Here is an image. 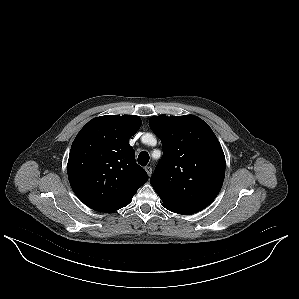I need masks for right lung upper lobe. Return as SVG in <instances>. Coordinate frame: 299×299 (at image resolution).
<instances>
[{
	"mask_svg": "<svg viewBox=\"0 0 299 299\" xmlns=\"http://www.w3.org/2000/svg\"><path fill=\"white\" fill-rule=\"evenodd\" d=\"M138 116L106 115L89 121L74 139L67 165L72 190L88 207L113 212L128 205L148 180L128 143Z\"/></svg>",
	"mask_w": 299,
	"mask_h": 299,
	"instance_id": "1",
	"label": "right lung upper lobe"
}]
</instances>
